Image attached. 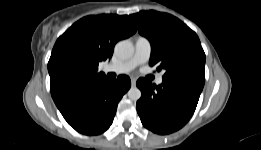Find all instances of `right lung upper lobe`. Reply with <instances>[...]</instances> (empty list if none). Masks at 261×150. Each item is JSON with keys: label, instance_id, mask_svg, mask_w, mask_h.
I'll return each instance as SVG.
<instances>
[{"label": "right lung upper lobe", "instance_id": "cb5924a9", "mask_svg": "<svg viewBox=\"0 0 261 150\" xmlns=\"http://www.w3.org/2000/svg\"><path fill=\"white\" fill-rule=\"evenodd\" d=\"M135 32L127 15L87 16L74 23L58 38L48 62L54 102L106 80L97 72L99 62L110 59L115 43Z\"/></svg>", "mask_w": 261, "mask_h": 150}]
</instances>
